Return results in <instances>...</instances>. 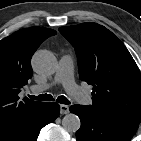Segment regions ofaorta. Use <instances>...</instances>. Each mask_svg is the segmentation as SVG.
Instances as JSON below:
<instances>
[{"mask_svg":"<svg viewBox=\"0 0 141 141\" xmlns=\"http://www.w3.org/2000/svg\"><path fill=\"white\" fill-rule=\"evenodd\" d=\"M31 63L35 72L42 75H52L56 71V59L48 50L36 51ZM62 126L68 132H76L80 129L81 121L77 115L69 113L63 117Z\"/></svg>","mask_w":141,"mask_h":141,"instance_id":"obj_1","label":"aorta"}]
</instances>
